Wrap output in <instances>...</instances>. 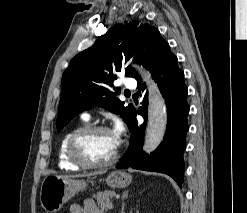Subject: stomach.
Segmentation results:
<instances>
[{
    "label": "stomach",
    "mask_w": 247,
    "mask_h": 213,
    "mask_svg": "<svg viewBox=\"0 0 247 213\" xmlns=\"http://www.w3.org/2000/svg\"><path fill=\"white\" fill-rule=\"evenodd\" d=\"M131 181L132 176L124 171H113L106 178L107 184L112 188L127 187ZM86 186L84 180L48 175L41 184V205L47 213H57L68 200Z\"/></svg>",
    "instance_id": "0dacf381"
}]
</instances>
